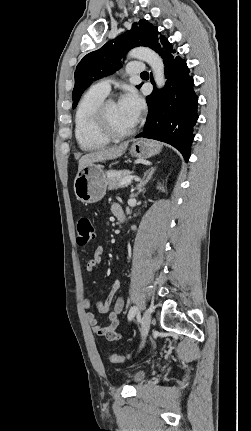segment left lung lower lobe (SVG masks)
<instances>
[{
  "label": "left lung lower lobe",
  "instance_id": "left-lung-lower-lobe-1",
  "mask_svg": "<svg viewBox=\"0 0 251 431\" xmlns=\"http://www.w3.org/2000/svg\"><path fill=\"white\" fill-rule=\"evenodd\" d=\"M152 49L163 59L167 81L160 93L154 88V92L146 97L148 116L143 132L136 138L171 144L188 161L194 139L193 126L198 119V97L194 93L193 77L188 74L185 60L176 54L165 37H160ZM151 81L153 83V79Z\"/></svg>",
  "mask_w": 251,
  "mask_h": 431
}]
</instances>
